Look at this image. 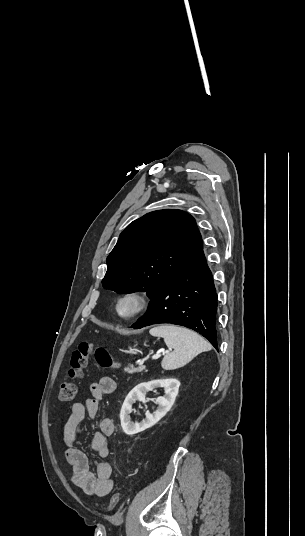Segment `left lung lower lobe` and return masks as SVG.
Returning <instances> with one entry per match:
<instances>
[{
  "instance_id": "1",
  "label": "left lung lower lobe",
  "mask_w": 305,
  "mask_h": 536,
  "mask_svg": "<svg viewBox=\"0 0 305 536\" xmlns=\"http://www.w3.org/2000/svg\"><path fill=\"white\" fill-rule=\"evenodd\" d=\"M217 294L213 277L202 251L177 277L160 289L146 314L132 325L139 329L171 323L193 329L216 348Z\"/></svg>"
}]
</instances>
